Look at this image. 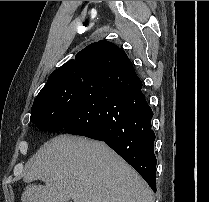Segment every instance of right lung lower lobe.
Wrapping results in <instances>:
<instances>
[{"label": "right lung lower lobe", "mask_w": 209, "mask_h": 202, "mask_svg": "<svg viewBox=\"0 0 209 202\" xmlns=\"http://www.w3.org/2000/svg\"><path fill=\"white\" fill-rule=\"evenodd\" d=\"M131 61L94 77L78 110L63 126L69 134L101 140L126 160L156 192L153 112Z\"/></svg>", "instance_id": "obj_1"}]
</instances>
